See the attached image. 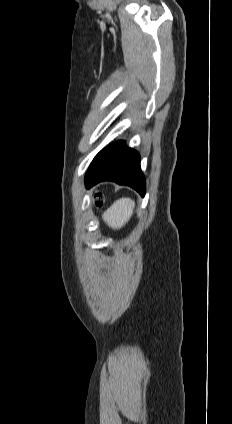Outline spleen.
<instances>
[{"instance_id": "obj_1", "label": "spleen", "mask_w": 232, "mask_h": 424, "mask_svg": "<svg viewBox=\"0 0 232 424\" xmlns=\"http://www.w3.org/2000/svg\"><path fill=\"white\" fill-rule=\"evenodd\" d=\"M134 207L135 203L131 199L120 198L104 212L103 220L109 227L120 229L129 221Z\"/></svg>"}]
</instances>
